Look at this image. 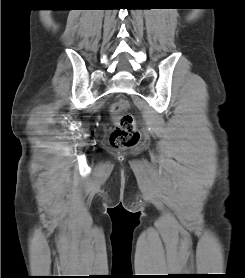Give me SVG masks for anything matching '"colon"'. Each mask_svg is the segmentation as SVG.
Masks as SVG:
<instances>
[{"mask_svg": "<svg viewBox=\"0 0 245 278\" xmlns=\"http://www.w3.org/2000/svg\"><path fill=\"white\" fill-rule=\"evenodd\" d=\"M129 107L128 99L119 97L110 109L115 124L111 134V142L117 148L131 146L139 139L134 118L130 114L124 113Z\"/></svg>", "mask_w": 245, "mask_h": 278, "instance_id": "1", "label": "colon"}]
</instances>
